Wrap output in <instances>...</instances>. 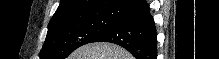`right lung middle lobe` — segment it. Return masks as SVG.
Segmentation results:
<instances>
[{"label": "right lung middle lobe", "mask_w": 219, "mask_h": 59, "mask_svg": "<svg viewBox=\"0 0 219 59\" xmlns=\"http://www.w3.org/2000/svg\"><path fill=\"white\" fill-rule=\"evenodd\" d=\"M113 9L85 11L51 19L40 59H65L78 47L92 43L97 36L123 19Z\"/></svg>", "instance_id": "dd1d6c3e"}]
</instances>
